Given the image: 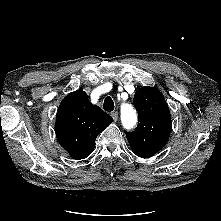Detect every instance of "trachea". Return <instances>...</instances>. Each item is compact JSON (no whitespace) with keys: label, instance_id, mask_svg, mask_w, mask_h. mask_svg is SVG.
Wrapping results in <instances>:
<instances>
[{"label":"trachea","instance_id":"3493384b","mask_svg":"<svg viewBox=\"0 0 221 221\" xmlns=\"http://www.w3.org/2000/svg\"><path fill=\"white\" fill-rule=\"evenodd\" d=\"M104 110L111 112L114 110V102L111 97H106L104 100Z\"/></svg>","mask_w":221,"mask_h":221}]
</instances>
